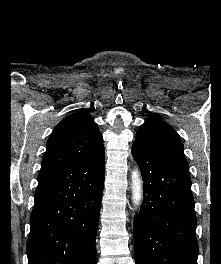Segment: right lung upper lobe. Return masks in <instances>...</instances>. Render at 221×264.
Segmentation results:
<instances>
[{"instance_id": "right-lung-upper-lobe-1", "label": "right lung upper lobe", "mask_w": 221, "mask_h": 264, "mask_svg": "<svg viewBox=\"0 0 221 264\" xmlns=\"http://www.w3.org/2000/svg\"><path fill=\"white\" fill-rule=\"evenodd\" d=\"M103 154L98 125L88 112L78 111L62 120L52 132L41 171L87 163Z\"/></svg>"}]
</instances>
